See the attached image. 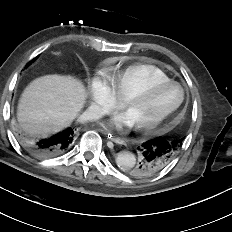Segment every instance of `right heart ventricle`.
<instances>
[{"instance_id":"e07e8e85","label":"right heart ventricle","mask_w":232,"mask_h":232,"mask_svg":"<svg viewBox=\"0 0 232 232\" xmlns=\"http://www.w3.org/2000/svg\"><path fill=\"white\" fill-rule=\"evenodd\" d=\"M103 70L113 93L120 101L156 83L170 80L162 69L150 64L139 63L119 68L105 63Z\"/></svg>"}]
</instances>
